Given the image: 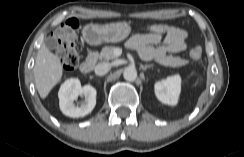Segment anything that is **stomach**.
Segmentation results:
<instances>
[{
	"mask_svg": "<svg viewBox=\"0 0 244 157\" xmlns=\"http://www.w3.org/2000/svg\"><path fill=\"white\" fill-rule=\"evenodd\" d=\"M131 32L127 22H116L105 25L88 24L83 29L85 40L91 45H99L103 42L116 43L126 39Z\"/></svg>",
	"mask_w": 244,
	"mask_h": 157,
	"instance_id": "obj_1",
	"label": "stomach"
}]
</instances>
